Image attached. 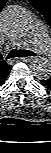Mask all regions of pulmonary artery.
I'll list each match as a JSON object with an SVG mask.
<instances>
[{
	"label": "pulmonary artery",
	"mask_w": 51,
	"mask_h": 153,
	"mask_svg": "<svg viewBox=\"0 0 51 153\" xmlns=\"http://www.w3.org/2000/svg\"><path fill=\"white\" fill-rule=\"evenodd\" d=\"M31 37L35 41L38 51L44 55H47L51 48V43L46 31L41 26V24H36L33 26Z\"/></svg>",
	"instance_id": "e3ab8cb5"
}]
</instances>
